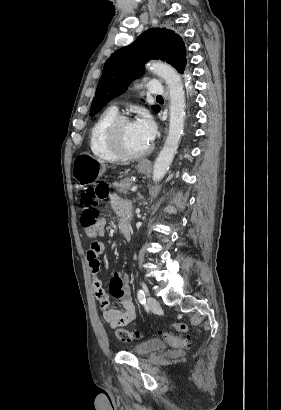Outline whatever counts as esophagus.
Wrapping results in <instances>:
<instances>
[{"label": "esophagus", "mask_w": 281, "mask_h": 410, "mask_svg": "<svg viewBox=\"0 0 281 410\" xmlns=\"http://www.w3.org/2000/svg\"><path fill=\"white\" fill-rule=\"evenodd\" d=\"M165 133H166V130H165ZM140 165L141 166H150L151 164H150V162L143 161V162L140 163Z\"/></svg>", "instance_id": "obj_1"}]
</instances>
